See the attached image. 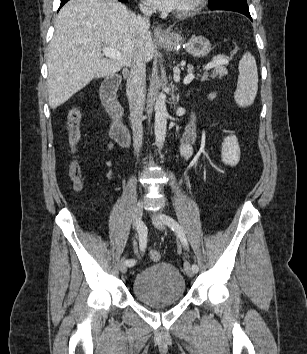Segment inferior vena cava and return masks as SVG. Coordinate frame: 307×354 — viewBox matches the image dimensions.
I'll use <instances>...</instances> for the list:
<instances>
[{
	"label": "inferior vena cava",
	"mask_w": 307,
	"mask_h": 354,
	"mask_svg": "<svg viewBox=\"0 0 307 354\" xmlns=\"http://www.w3.org/2000/svg\"><path fill=\"white\" fill-rule=\"evenodd\" d=\"M140 10L143 16L137 18V26L139 40L140 43H142L149 33V17L153 14L154 10L144 5L140 6ZM126 93L130 107L134 149L138 156L143 139L142 114L146 95V62L141 50H139L133 58L130 74L127 79Z\"/></svg>",
	"instance_id": "1"
}]
</instances>
